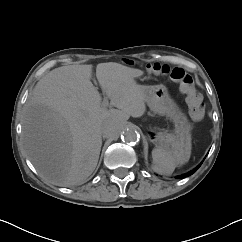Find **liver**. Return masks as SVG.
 Returning <instances> with one entry per match:
<instances>
[{"label": "liver", "instance_id": "liver-1", "mask_svg": "<svg viewBox=\"0 0 242 242\" xmlns=\"http://www.w3.org/2000/svg\"><path fill=\"white\" fill-rule=\"evenodd\" d=\"M92 71L91 64L53 69L25 105L24 148L41 177L54 185H81L92 174L102 146L98 131L107 119H116L121 131L130 116L146 112L145 86L135 80L142 70L116 62L96 66V78L117 109L102 106Z\"/></svg>", "mask_w": 242, "mask_h": 242}]
</instances>
